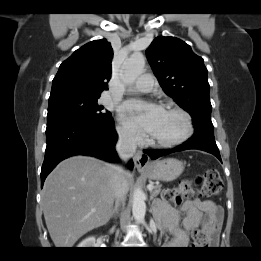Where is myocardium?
<instances>
[{
    "label": "myocardium",
    "instance_id": "1",
    "mask_svg": "<svg viewBox=\"0 0 261 261\" xmlns=\"http://www.w3.org/2000/svg\"><path fill=\"white\" fill-rule=\"evenodd\" d=\"M165 110L174 112L182 118L184 124L183 132L179 136L171 140H156L151 138L149 139V143L157 147H175L181 145L182 143L187 141L193 134L194 127L192 118L187 111L176 105H166Z\"/></svg>",
    "mask_w": 261,
    "mask_h": 261
}]
</instances>
